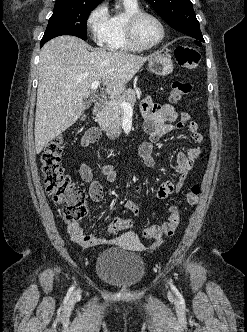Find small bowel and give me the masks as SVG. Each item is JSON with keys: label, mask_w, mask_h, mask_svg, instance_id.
<instances>
[{"label": "small bowel", "mask_w": 247, "mask_h": 332, "mask_svg": "<svg viewBox=\"0 0 247 332\" xmlns=\"http://www.w3.org/2000/svg\"><path fill=\"white\" fill-rule=\"evenodd\" d=\"M141 112L143 116V128L148 134V141L143 142L138 153L145 165L155 168L156 161L153 157V146L163 136L177 130L186 128L192 140L195 143L203 142V135L198 132V125L191 120L187 112H179L171 104H156L149 97L145 98L141 104ZM171 123H175L172 125ZM100 138V131L97 128H90L81 140L84 147L89 146ZM201 150L199 147H192L187 152H179L176 155L175 171L178 174L176 182L166 181L162 183L158 189L150 196L155 199H166L174 193H178L184 186L189 171L192 169L195 159L199 157ZM100 173L109 183L116 180V172L113 166L104 165L100 168ZM79 174L83 181L89 184V194L93 201L101 202L103 199V189L100 183L94 178L91 168L87 164H81ZM139 194L143 193L142 188H137ZM125 208L134 215L140 213V202L135 199L125 201ZM67 233L72 241L85 246L95 247L109 243L105 238L86 235L83 228L78 223L69 224Z\"/></svg>", "instance_id": "c3829d8e"}]
</instances>
